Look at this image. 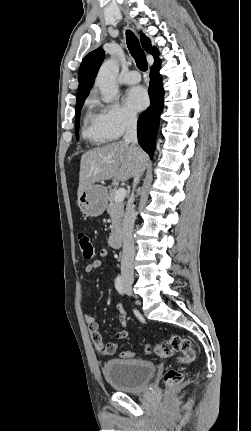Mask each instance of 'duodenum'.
Instances as JSON below:
<instances>
[{"label": "duodenum", "mask_w": 251, "mask_h": 431, "mask_svg": "<svg viewBox=\"0 0 251 431\" xmlns=\"http://www.w3.org/2000/svg\"><path fill=\"white\" fill-rule=\"evenodd\" d=\"M123 242V234L121 230L114 231L110 238L109 243L113 248H120Z\"/></svg>", "instance_id": "410a0bca"}]
</instances>
